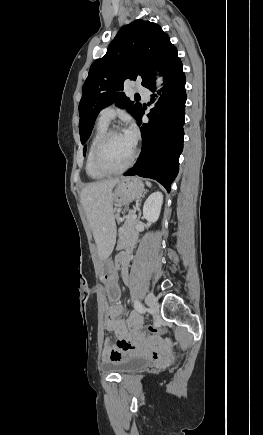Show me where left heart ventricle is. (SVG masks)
I'll return each instance as SVG.
<instances>
[{"label": "left heart ventricle", "mask_w": 263, "mask_h": 435, "mask_svg": "<svg viewBox=\"0 0 263 435\" xmlns=\"http://www.w3.org/2000/svg\"><path fill=\"white\" fill-rule=\"evenodd\" d=\"M133 149L124 134L114 135L103 147L101 161L108 168H120L129 160Z\"/></svg>", "instance_id": "obj_1"}]
</instances>
